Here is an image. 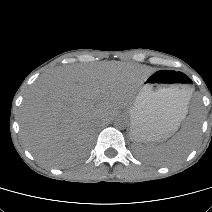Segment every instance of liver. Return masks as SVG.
<instances>
[{
  "mask_svg": "<svg viewBox=\"0 0 212 212\" xmlns=\"http://www.w3.org/2000/svg\"><path fill=\"white\" fill-rule=\"evenodd\" d=\"M151 73L139 64L108 61L44 74L31 86L20 109L24 146L42 164L75 163L91 148L97 124L129 106Z\"/></svg>",
  "mask_w": 212,
  "mask_h": 212,
  "instance_id": "obj_1",
  "label": "liver"
}]
</instances>
